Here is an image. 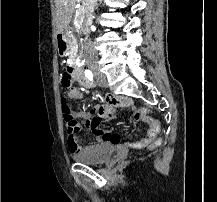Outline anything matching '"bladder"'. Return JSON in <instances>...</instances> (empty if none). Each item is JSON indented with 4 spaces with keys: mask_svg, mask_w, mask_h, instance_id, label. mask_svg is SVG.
Returning a JSON list of instances; mask_svg holds the SVG:
<instances>
[{
    "mask_svg": "<svg viewBox=\"0 0 217 202\" xmlns=\"http://www.w3.org/2000/svg\"><path fill=\"white\" fill-rule=\"evenodd\" d=\"M114 149L113 143H99L94 146H88L82 151L77 152L74 155V158L89 164H96L102 162L106 158H111Z\"/></svg>",
    "mask_w": 217,
    "mask_h": 202,
    "instance_id": "bladder-1",
    "label": "bladder"
}]
</instances>
